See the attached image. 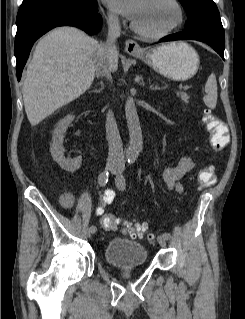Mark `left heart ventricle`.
<instances>
[{"label":"left heart ventricle","instance_id":"1","mask_svg":"<svg viewBox=\"0 0 245 319\" xmlns=\"http://www.w3.org/2000/svg\"><path fill=\"white\" fill-rule=\"evenodd\" d=\"M176 18V10L169 0H144L134 22L142 29L158 31L172 25Z\"/></svg>","mask_w":245,"mask_h":319}]
</instances>
